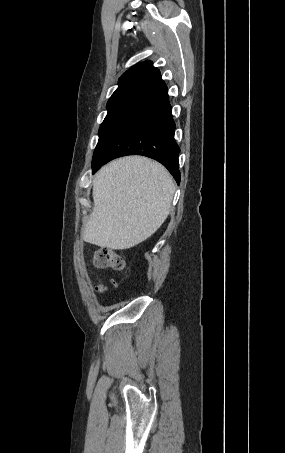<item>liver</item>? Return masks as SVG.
<instances>
[{
  "instance_id": "1",
  "label": "liver",
  "mask_w": 285,
  "mask_h": 453,
  "mask_svg": "<svg viewBox=\"0 0 285 453\" xmlns=\"http://www.w3.org/2000/svg\"><path fill=\"white\" fill-rule=\"evenodd\" d=\"M175 185L164 166L128 156L110 162L93 180V211L83 240L102 248H132L166 220Z\"/></svg>"
}]
</instances>
